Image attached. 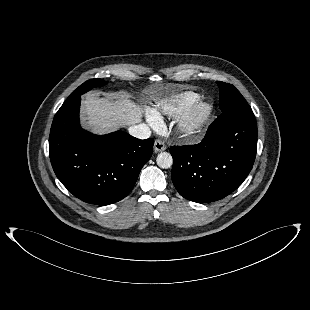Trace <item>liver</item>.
<instances>
[{
    "instance_id": "6515ba94",
    "label": "liver",
    "mask_w": 310,
    "mask_h": 310,
    "mask_svg": "<svg viewBox=\"0 0 310 310\" xmlns=\"http://www.w3.org/2000/svg\"><path fill=\"white\" fill-rule=\"evenodd\" d=\"M151 99L155 100V96ZM82 109L86 128L97 134L137 124L143 117L142 106L137 105L129 96L110 100L87 94Z\"/></svg>"
}]
</instances>
